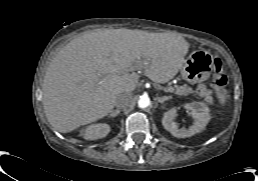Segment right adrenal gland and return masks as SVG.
<instances>
[{
    "label": "right adrenal gland",
    "instance_id": "obj_1",
    "mask_svg": "<svg viewBox=\"0 0 258 181\" xmlns=\"http://www.w3.org/2000/svg\"><path fill=\"white\" fill-rule=\"evenodd\" d=\"M121 112V110L117 109V110H113L111 111V113L108 115V117H116L117 115H119Z\"/></svg>",
    "mask_w": 258,
    "mask_h": 181
}]
</instances>
